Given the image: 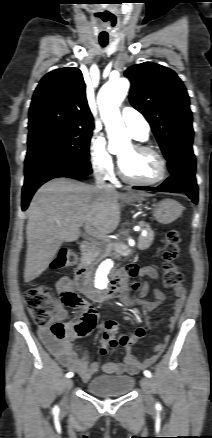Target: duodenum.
Wrapping results in <instances>:
<instances>
[{
  "label": "duodenum",
  "instance_id": "duodenum-1",
  "mask_svg": "<svg viewBox=\"0 0 212 438\" xmlns=\"http://www.w3.org/2000/svg\"><path fill=\"white\" fill-rule=\"evenodd\" d=\"M82 261L76 270L75 285L79 292L84 294L88 299L95 302H103L113 300L120 297L123 290V280L118 274L112 281L110 286L104 290H97L91 283L89 277V262L93 251L92 243L83 241L80 245Z\"/></svg>",
  "mask_w": 212,
  "mask_h": 438
}]
</instances>
